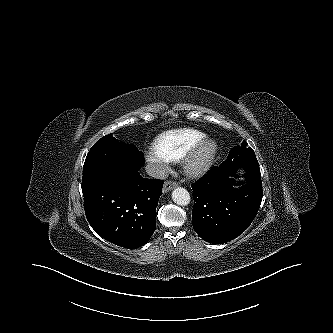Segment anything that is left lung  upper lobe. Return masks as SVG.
Wrapping results in <instances>:
<instances>
[{
  "instance_id": "obj_1",
  "label": "left lung upper lobe",
  "mask_w": 333,
  "mask_h": 333,
  "mask_svg": "<svg viewBox=\"0 0 333 333\" xmlns=\"http://www.w3.org/2000/svg\"><path fill=\"white\" fill-rule=\"evenodd\" d=\"M247 143L244 141L243 145L241 147H235L232 148L229 152L228 158L230 160H233L236 162L237 167L245 168L247 172L251 173L252 175H260V169L259 164L256 159L254 151L251 149V147L246 148ZM241 153H247V155L250 157L248 161L242 162L241 160L239 162L235 161V159L239 156Z\"/></svg>"
}]
</instances>
